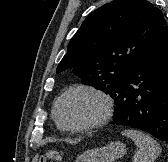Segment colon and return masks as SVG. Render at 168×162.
<instances>
[{
	"mask_svg": "<svg viewBox=\"0 0 168 162\" xmlns=\"http://www.w3.org/2000/svg\"><path fill=\"white\" fill-rule=\"evenodd\" d=\"M62 158L57 151H46L40 155L37 162H58Z\"/></svg>",
	"mask_w": 168,
	"mask_h": 162,
	"instance_id": "colon-1",
	"label": "colon"
}]
</instances>
